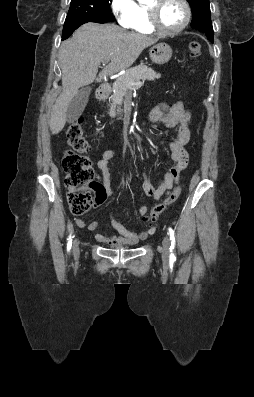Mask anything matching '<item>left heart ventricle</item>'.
<instances>
[{"mask_svg": "<svg viewBox=\"0 0 254 397\" xmlns=\"http://www.w3.org/2000/svg\"><path fill=\"white\" fill-rule=\"evenodd\" d=\"M152 2L150 5H153ZM158 22L165 29H175L183 21L184 8L178 0H165L157 7Z\"/></svg>", "mask_w": 254, "mask_h": 397, "instance_id": "left-heart-ventricle-1", "label": "left heart ventricle"}]
</instances>
